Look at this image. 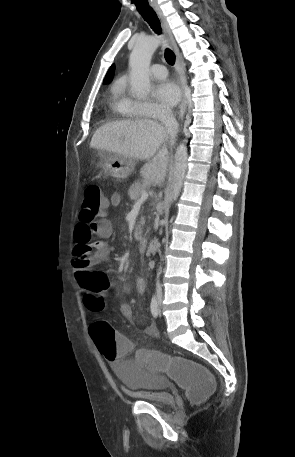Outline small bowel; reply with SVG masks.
<instances>
[{"mask_svg":"<svg viewBox=\"0 0 295 457\" xmlns=\"http://www.w3.org/2000/svg\"><path fill=\"white\" fill-rule=\"evenodd\" d=\"M121 201V195L114 193L109 199L108 206L117 207L120 205ZM112 234L113 226L107 217H102L90 224L79 222L76 225L74 252L79 246H87L89 248V252L87 253V264L85 267H75V255L73 258L74 278L84 294L87 292V271H96V267L110 260L111 250L105 240L110 238ZM95 236L100 238V240L93 241L92 239ZM136 289L140 294H143L146 291V283L143 279H137ZM120 312L126 318H132L133 316L132 306L129 303H122L120 305ZM147 331L150 334H155V326L149 324ZM128 341L130 340L128 339ZM110 361L112 362V360Z\"/></svg>","mask_w":295,"mask_h":457,"instance_id":"1","label":"small bowel"}]
</instances>
